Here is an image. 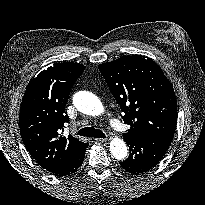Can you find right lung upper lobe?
<instances>
[{
	"mask_svg": "<svg viewBox=\"0 0 205 205\" xmlns=\"http://www.w3.org/2000/svg\"><path fill=\"white\" fill-rule=\"evenodd\" d=\"M78 63H57L32 79L22 99L19 128L26 149L49 172L55 171L88 144L61 136L69 117L70 90L85 70Z\"/></svg>",
	"mask_w": 205,
	"mask_h": 205,
	"instance_id": "obj_1",
	"label": "right lung upper lobe"
}]
</instances>
